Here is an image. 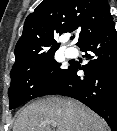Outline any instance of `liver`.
Listing matches in <instances>:
<instances>
[{
	"mask_svg": "<svg viewBox=\"0 0 117 131\" xmlns=\"http://www.w3.org/2000/svg\"><path fill=\"white\" fill-rule=\"evenodd\" d=\"M50 121L57 131H106L104 121L82 103L60 97L37 100L23 108L13 131H50Z\"/></svg>",
	"mask_w": 117,
	"mask_h": 131,
	"instance_id": "6515ba94",
	"label": "liver"
}]
</instances>
